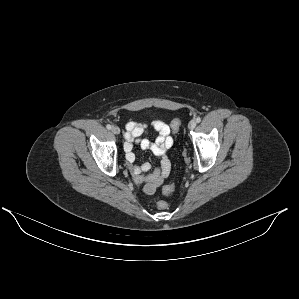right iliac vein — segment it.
I'll return each instance as SVG.
<instances>
[{
  "mask_svg": "<svg viewBox=\"0 0 299 299\" xmlns=\"http://www.w3.org/2000/svg\"><path fill=\"white\" fill-rule=\"evenodd\" d=\"M111 131L114 133V134H119L120 133V129H119V127H117V126H113L112 128H111Z\"/></svg>",
  "mask_w": 299,
  "mask_h": 299,
  "instance_id": "obj_1",
  "label": "right iliac vein"
}]
</instances>
